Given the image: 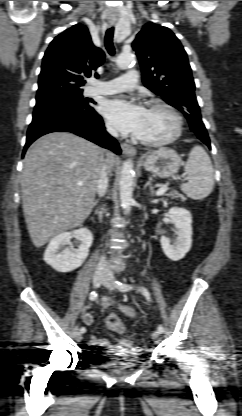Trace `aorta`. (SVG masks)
Returning <instances> with one entry per match:
<instances>
[{
    "label": "aorta",
    "instance_id": "obj_1",
    "mask_svg": "<svg viewBox=\"0 0 242 416\" xmlns=\"http://www.w3.org/2000/svg\"><path fill=\"white\" fill-rule=\"evenodd\" d=\"M134 59L135 58L132 53L123 52L117 57L116 64L120 69H126L133 63ZM133 177V163L131 160H126L123 163L121 176L119 179L120 202L121 207L126 215L129 214L133 201Z\"/></svg>",
    "mask_w": 242,
    "mask_h": 416
}]
</instances>
